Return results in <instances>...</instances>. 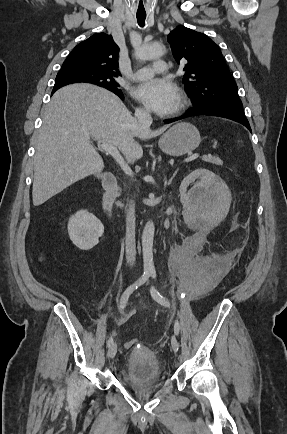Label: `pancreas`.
<instances>
[{"label": "pancreas", "mask_w": 287, "mask_h": 434, "mask_svg": "<svg viewBox=\"0 0 287 434\" xmlns=\"http://www.w3.org/2000/svg\"><path fill=\"white\" fill-rule=\"evenodd\" d=\"M202 160L205 162H208V163L216 164V165H222L223 164L222 160L219 157H215L212 155L203 156ZM122 206L123 205L120 204V207H122Z\"/></svg>", "instance_id": "obj_1"}]
</instances>
